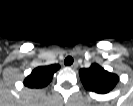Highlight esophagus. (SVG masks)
Segmentation results:
<instances>
[{"label":"esophagus","instance_id":"34e87169","mask_svg":"<svg viewBox=\"0 0 133 106\" xmlns=\"http://www.w3.org/2000/svg\"><path fill=\"white\" fill-rule=\"evenodd\" d=\"M72 69H76L78 67V64L75 62L70 66Z\"/></svg>","mask_w":133,"mask_h":106}]
</instances>
